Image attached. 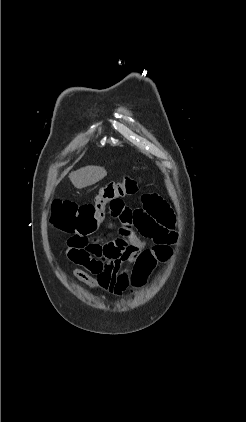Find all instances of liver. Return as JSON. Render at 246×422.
Segmentation results:
<instances>
[{
	"label": "liver",
	"instance_id": "1",
	"mask_svg": "<svg viewBox=\"0 0 246 422\" xmlns=\"http://www.w3.org/2000/svg\"><path fill=\"white\" fill-rule=\"evenodd\" d=\"M107 175V171L99 166H86L69 174L72 184L77 189L91 186L102 180Z\"/></svg>",
	"mask_w": 246,
	"mask_h": 422
}]
</instances>
